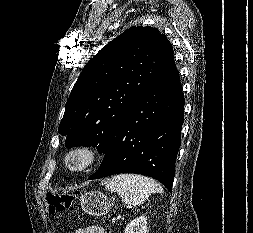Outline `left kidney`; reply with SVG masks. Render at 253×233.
Returning a JSON list of instances; mask_svg holds the SVG:
<instances>
[{"label": "left kidney", "instance_id": "5707ae66", "mask_svg": "<svg viewBox=\"0 0 253 233\" xmlns=\"http://www.w3.org/2000/svg\"><path fill=\"white\" fill-rule=\"evenodd\" d=\"M124 233H148L147 218L140 216L127 224Z\"/></svg>", "mask_w": 253, "mask_h": 233}]
</instances>
